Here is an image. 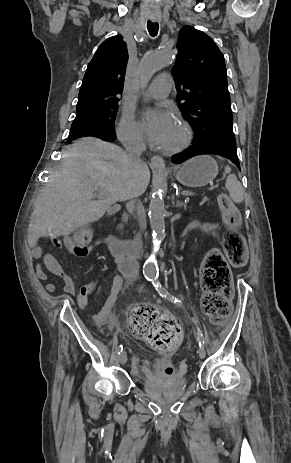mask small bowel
<instances>
[{
	"label": "small bowel",
	"instance_id": "c3829d8e",
	"mask_svg": "<svg viewBox=\"0 0 291 463\" xmlns=\"http://www.w3.org/2000/svg\"><path fill=\"white\" fill-rule=\"evenodd\" d=\"M52 242L57 246L61 247L62 243L59 242L57 239L52 238ZM70 237L65 236L63 238L64 246L74 255L76 256H85L89 254L93 248L102 244L101 241H95L93 243H88L86 246L82 247L81 249H72ZM32 254L34 258H42L43 263L47 270L53 274L54 276L61 279L64 284V291L71 296L76 297V301L80 308H85L88 305V289L81 288L78 293H76L75 283L73 279L67 275L62 268L61 264L58 260L48 252H44L43 248L39 245H34ZM116 263L118 267L119 274L114 278L111 295L107 303L102 307V309L92 317L93 322L97 326L105 325L112 321V306L116 299L118 292L129 282L131 281L137 273V263L132 256H115ZM37 270V277L40 281H45L47 279V275L44 272L42 266L40 264L36 267ZM46 290L48 292H54L56 290V286L53 283L46 284Z\"/></svg>",
	"mask_w": 291,
	"mask_h": 463
}]
</instances>
